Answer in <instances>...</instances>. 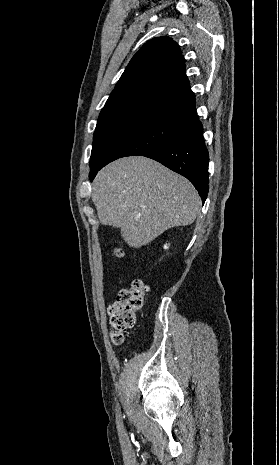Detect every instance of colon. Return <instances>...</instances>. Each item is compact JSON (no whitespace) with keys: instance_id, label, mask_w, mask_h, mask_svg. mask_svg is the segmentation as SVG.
I'll return each instance as SVG.
<instances>
[{"instance_id":"obj_1","label":"colon","mask_w":279,"mask_h":465,"mask_svg":"<svg viewBox=\"0 0 279 465\" xmlns=\"http://www.w3.org/2000/svg\"><path fill=\"white\" fill-rule=\"evenodd\" d=\"M113 256H123L121 248L113 249ZM148 292V286L141 280H135L130 287L122 289L116 301L109 307L111 324V339L115 345L124 341V333L134 327L136 314L143 308L144 297Z\"/></svg>"}]
</instances>
